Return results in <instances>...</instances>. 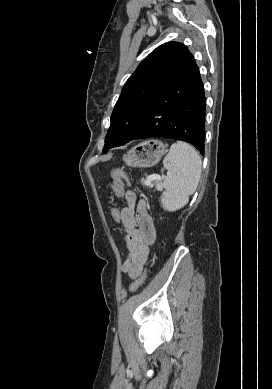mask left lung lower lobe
<instances>
[{"label": "left lung lower lobe", "mask_w": 272, "mask_h": 389, "mask_svg": "<svg viewBox=\"0 0 272 389\" xmlns=\"http://www.w3.org/2000/svg\"><path fill=\"white\" fill-rule=\"evenodd\" d=\"M205 107L204 86L193 59L156 96L128 142L149 137L181 140L203 155Z\"/></svg>", "instance_id": "1"}]
</instances>
